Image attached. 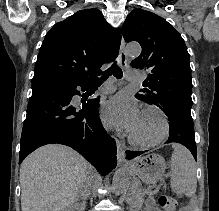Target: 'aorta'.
<instances>
[{"label": "aorta", "instance_id": "aorta-1", "mask_svg": "<svg viewBox=\"0 0 219 211\" xmlns=\"http://www.w3.org/2000/svg\"><path fill=\"white\" fill-rule=\"evenodd\" d=\"M126 53L131 57H136L141 53V47L136 43L129 44L126 47ZM129 184V173L126 170H118L113 176L112 191L119 195L127 190Z\"/></svg>", "mask_w": 219, "mask_h": 211}]
</instances>
